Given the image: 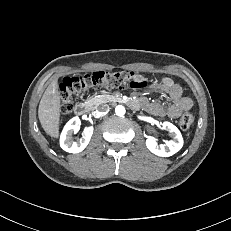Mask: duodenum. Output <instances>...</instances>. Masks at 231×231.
<instances>
[{"label": "duodenum", "instance_id": "obj_1", "mask_svg": "<svg viewBox=\"0 0 231 231\" xmlns=\"http://www.w3.org/2000/svg\"><path fill=\"white\" fill-rule=\"evenodd\" d=\"M128 103L131 106H134V102L133 101H128ZM91 110H92L91 105H89V104H80V105L76 106V108H75V114L77 116H84V115L88 114Z\"/></svg>", "mask_w": 231, "mask_h": 231}]
</instances>
